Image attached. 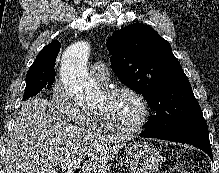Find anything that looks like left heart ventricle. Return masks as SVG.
<instances>
[{"label": "left heart ventricle", "mask_w": 219, "mask_h": 173, "mask_svg": "<svg viewBox=\"0 0 219 173\" xmlns=\"http://www.w3.org/2000/svg\"><path fill=\"white\" fill-rule=\"evenodd\" d=\"M96 110H101L108 120L121 129H131L140 118L141 107L138 101L131 95L120 93L108 98L102 93Z\"/></svg>", "instance_id": "b2bd125f"}]
</instances>
